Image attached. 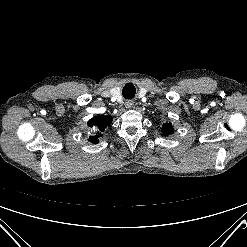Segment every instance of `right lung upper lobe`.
<instances>
[{"label": "right lung upper lobe", "mask_w": 247, "mask_h": 247, "mask_svg": "<svg viewBox=\"0 0 247 247\" xmlns=\"http://www.w3.org/2000/svg\"><path fill=\"white\" fill-rule=\"evenodd\" d=\"M112 122L111 116H96L93 117L88 121V126L91 127L93 130H97V133L95 136H90L89 141L92 143H98L99 138L102 137V131L106 127H108Z\"/></svg>", "instance_id": "1"}]
</instances>
